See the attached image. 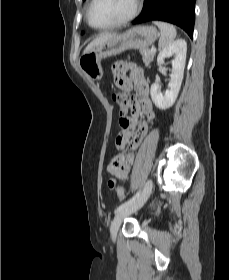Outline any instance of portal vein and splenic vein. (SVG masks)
Here are the masks:
<instances>
[{
    "label": "portal vein and splenic vein",
    "mask_w": 229,
    "mask_h": 280,
    "mask_svg": "<svg viewBox=\"0 0 229 280\" xmlns=\"http://www.w3.org/2000/svg\"><path fill=\"white\" fill-rule=\"evenodd\" d=\"M150 51H151L152 53H155V52H156V48H155V47H152Z\"/></svg>",
    "instance_id": "18ae733b"
}]
</instances>
